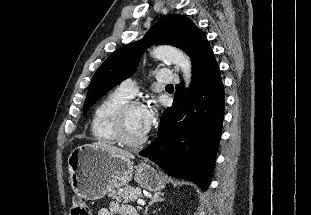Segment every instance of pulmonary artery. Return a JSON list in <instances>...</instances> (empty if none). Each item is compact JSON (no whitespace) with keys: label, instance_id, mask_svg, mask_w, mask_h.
Listing matches in <instances>:
<instances>
[{"label":"pulmonary artery","instance_id":"pulmonary-artery-1","mask_svg":"<svg viewBox=\"0 0 311 215\" xmlns=\"http://www.w3.org/2000/svg\"><path fill=\"white\" fill-rule=\"evenodd\" d=\"M155 78L159 83H170L173 81V75L169 69L158 70ZM118 90L127 97L132 98L137 92V84L134 80L126 79L119 85Z\"/></svg>","mask_w":311,"mask_h":215}]
</instances>
